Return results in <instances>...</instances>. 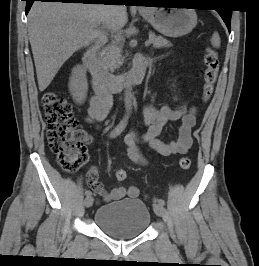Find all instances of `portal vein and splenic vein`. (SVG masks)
Returning a JSON list of instances; mask_svg holds the SVG:
<instances>
[{
	"instance_id": "1",
	"label": "portal vein and splenic vein",
	"mask_w": 259,
	"mask_h": 266,
	"mask_svg": "<svg viewBox=\"0 0 259 266\" xmlns=\"http://www.w3.org/2000/svg\"><path fill=\"white\" fill-rule=\"evenodd\" d=\"M153 41V38H149L146 42H145V46L148 47Z\"/></svg>"
}]
</instances>
